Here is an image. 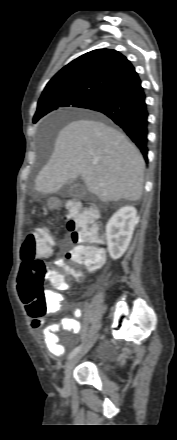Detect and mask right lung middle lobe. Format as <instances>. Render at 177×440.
Instances as JSON below:
<instances>
[{
    "label": "right lung middle lobe",
    "mask_w": 177,
    "mask_h": 440,
    "mask_svg": "<svg viewBox=\"0 0 177 440\" xmlns=\"http://www.w3.org/2000/svg\"><path fill=\"white\" fill-rule=\"evenodd\" d=\"M102 96L97 93H87V92H61L58 93L40 103H38L37 111L33 118V122H37L41 117L47 113L57 110L63 107H79L86 108L90 104L94 103L96 100Z\"/></svg>",
    "instance_id": "dd1d6c3e"
}]
</instances>
